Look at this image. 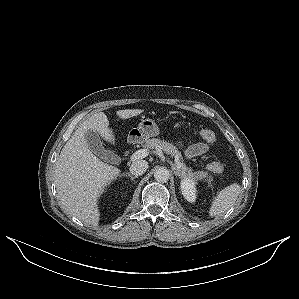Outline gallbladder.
Instances as JSON below:
<instances>
[{"label": "gallbladder", "instance_id": "bac80fb5", "mask_svg": "<svg viewBox=\"0 0 299 299\" xmlns=\"http://www.w3.org/2000/svg\"><path fill=\"white\" fill-rule=\"evenodd\" d=\"M85 139L89 149L107 162H115L117 155L114 152L106 150L101 142L99 134L94 130H87L85 133Z\"/></svg>", "mask_w": 299, "mask_h": 299}]
</instances>
